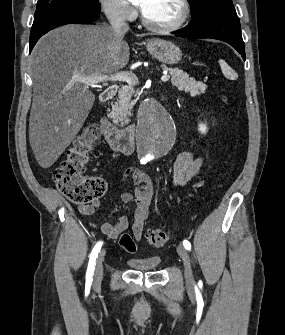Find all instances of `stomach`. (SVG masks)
I'll return each instance as SVG.
<instances>
[{
    "label": "stomach",
    "mask_w": 285,
    "mask_h": 335,
    "mask_svg": "<svg viewBox=\"0 0 285 335\" xmlns=\"http://www.w3.org/2000/svg\"><path fill=\"white\" fill-rule=\"evenodd\" d=\"M147 52L150 56L162 62V64H179L182 58V52L179 46L173 42H166V40H159V38H152L146 44Z\"/></svg>",
    "instance_id": "1"
}]
</instances>
